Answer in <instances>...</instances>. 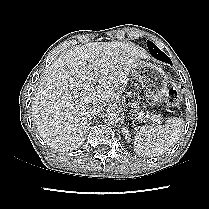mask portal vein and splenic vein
<instances>
[{
    "instance_id": "portal-vein-and-splenic-vein-1",
    "label": "portal vein and splenic vein",
    "mask_w": 209,
    "mask_h": 209,
    "mask_svg": "<svg viewBox=\"0 0 209 209\" xmlns=\"http://www.w3.org/2000/svg\"><path fill=\"white\" fill-rule=\"evenodd\" d=\"M93 85H95L96 84V82L95 81H93V83H92ZM90 90V86H87V87H85L84 88V91H89ZM141 116H143V114H140ZM151 120H153V121H156V115H149L148 116Z\"/></svg>"
}]
</instances>
